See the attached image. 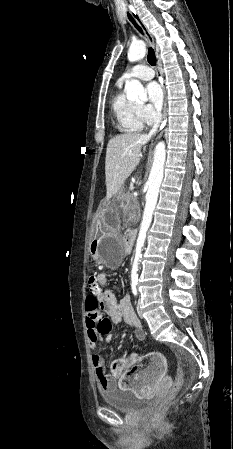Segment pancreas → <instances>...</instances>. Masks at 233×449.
Instances as JSON below:
<instances>
[{"instance_id": "obj_1", "label": "pancreas", "mask_w": 233, "mask_h": 449, "mask_svg": "<svg viewBox=\"0 0 233 449\" xmlns=\"http://www.w3.org/2000/svg\"><path fill=\"white\" fill-rule=\"evenodd\" d=\"M125 198H126L127 201L133 202V205H127L125 210L126 211L132 210L133 213L131 215H133L135 217H138V215H139V206H138V203H137V198L134 197L130 193L125 194Z\"/></svg>"}]
</instances>
